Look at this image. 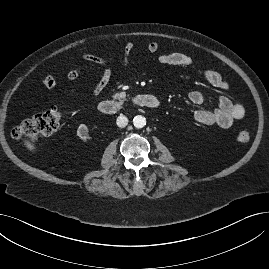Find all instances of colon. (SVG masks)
Here are the masks:
<instances>
[{
  "mask_svg": "<svg viewBox=\"0 0 269 269\" xmlns=\"http://www.w3.org/2000/svg\"><path fill=\"white\" fill-rule=\"evenodd\" d=\"M61 118V107H51L16 126L12 135L17 140L36 141L40 137L53 134L58 129ZM249 139L250 132L247 129L238 131L237 141L239 143H247Z\"/></svg>",
  "mask_w": 269,
  "mask_h": 269,
  "instance_id": "colon-1",
  "label": "colon"
}]
</instances>
